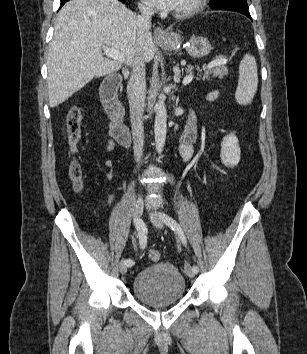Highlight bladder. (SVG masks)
Listing matches in <instances>:
<instances>
[{"instance_id": "bladder-1", "label": "bladder", "mask_w": 307, "mask_h": 354, "mask_svg": "<svg viewBox=\"0 0 307 354\" xmlns=\"http://www.w3.org/2000/svg\"><path fill=\"white\" fill-rule=\"evenodd\" d=\"M132 290L142 303L151 307H164L184 297L186 282L175 265L163 261L140 270L133 279Z\"/></svg>"}]
</instances>
